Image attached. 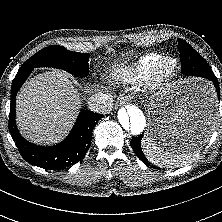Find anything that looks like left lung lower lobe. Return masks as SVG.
Instances as JSON below:
<instances>
[{
  "label": "left lung lower lobe",
  "instance_id": "0a47b994",
  "mask_svg": "<svg viewBox=\"0 0 222 222\" xmlns=\"http://www.w3.org/2000/svg\"><path fill=\"white\" fill-rule=\"evenodd\" d=\"M181 72L185 75H191V76H197V77H202L205 79H208L210 81L213 82L216 92H217V96L218 99H220V89H219V85H218V81L214 75V73L211 70H206V68H204L202 66V64L199 63V61H197L194 57L190 56V57H183L181 56ZM142 136L143 134L134 137L131 140V147L134 151V153L137 155V157L146 165H150L147 158L145 157V155L142 152L141 149V140H142Z\"/></svg>",
  "mask_w": 222,
  "mask_h": 222
}]
</instances>
